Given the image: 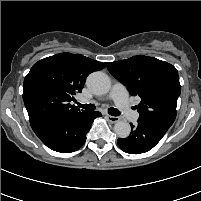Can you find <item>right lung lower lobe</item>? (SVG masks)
Segmentation results:
<instances>
[{
    "instance_id": "1",
    "label": "right lung lower lobe",
    "mask_w": 201,
    "mask_h": 201,
    "mask_svg": "<svg viewBox=\"0 0 201 201\" xmlns=\"http://www.w3.org/2000/svg\"><path fill=\"white\" fill-rule=\"evenodd\" d=\"M100 112H84L68 119L40 118L31 121V127L40 140L50 149L70 153L78 150L86 141L93 120Z\"/></svg>"
}]
</instances>
